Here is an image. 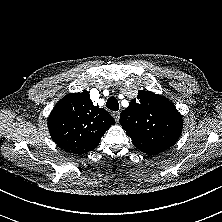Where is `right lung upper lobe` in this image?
<instances>
[{
	"label": "right lung upper lobe",
	"instance_id": "obj_1",
	"mask_svg": "<svg viewBox=\"0 0 222 222\" xmlns=\"http://www.w3.org/2000/svg\"><path fill=\"white\" fill-rule=\"evenodd\" d=\"M113 124L112 116L105 109L94 106L87 91L66 95L48 118L53 141L65 151L77 154L97 147Z\"/></svg>",
	"mask_w": 222,
	"mask_h": 222
}]
</instances>
